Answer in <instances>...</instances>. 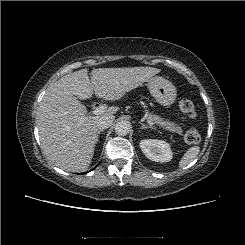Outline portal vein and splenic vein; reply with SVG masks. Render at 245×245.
<instances>
[{
    "instance_id": "obj_1",
    "label": "portal vein and splenic vein",
    "mask_w": 245,
    "mask_h": 245,
    "mask_svg": "<svg viewBox=\"0 0 245 245\" xmlns=\"http://www.w3.org/2000/svg\"><path fill=\"white\" fill-rule=\"evenodd\" d=\"M107 111V107L105 105H102V106H99V107H96L94 108V110L92 111V113L94 115H101V114H104L105 112ZM147 123L151 126L154 125V123L150 120H147Z\"/></svg>"
}]
</instances>
